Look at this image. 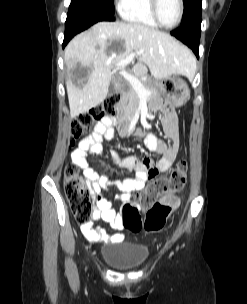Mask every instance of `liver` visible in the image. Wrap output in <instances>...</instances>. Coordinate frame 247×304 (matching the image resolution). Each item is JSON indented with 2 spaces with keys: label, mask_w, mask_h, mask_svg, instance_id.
Listing matches in <instances>:
<instances>
[{
  "label": "liver",
  "mask_w": 247,
  "mask_h": 304,
  "mask_svg": "<svg viewBox=\"0 0 247 304\" xmlns=\"http://www.w3.org/2000/svg\"><path fill=\"white\" fill-rule=\"evenodd\" d=\"M133 52L140 53L132 67L136 76L145 75L148 68L157 80L171 75L191 77L195 72L190 51L169 34L138 23L99 22L75 36L65 49L71 118L104 101L112 78L111 68ZM78 63L89 69L82 88L71 79Z\"/></svg>",
  "instance_id": "obj_1"
}]
</instances>
